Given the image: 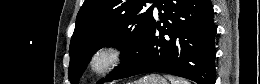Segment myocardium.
Returning <instances> with one entry per match:
<instances>
[{"instance_id":"obj_1","label":"myocardium","mask_w":260,"mask_h":84,"mask_svg":"<svg viewBox=\"0 0 260 84\" xmlns=\"http://www.w3.org/2000/svg\"><path fill=\"white\" fill-rule=\"evenodd\" d=\"M127 56V48L115 41L97 45L86 59L87 71L94 77L102 78L118 70Z\"/></svg>"}]
</instances>
